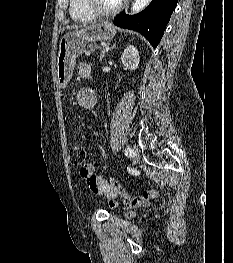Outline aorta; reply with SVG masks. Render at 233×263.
I'll list each match as a JSON object with an SVG mask.
<instances>
[{
    "instance_id": "1",
    "label": "aorta",
    "mask_w": 233,
    "mask_h": 263,
    "mask_svg": "<svg viewBox=\"0 0 233 263\" xmlns=\"http://www.w3.org/2000/svg\"><path fill=\"white\" fill-rule=\"evenodd\" d=\"M152 0H135L131 7V13L135 14L142 11ZM95 96L94 93L88 90L85 94V101L88 104L94 102Z\"/></svg>"
}]
</instances>
